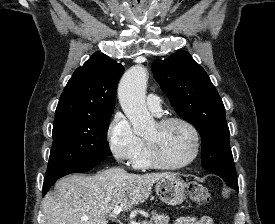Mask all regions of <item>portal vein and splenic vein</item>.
I'll use <instances>...</instances> for the list:
<instances>
[{
    "label": "portal vein and splenic vein",
    "instance_id": "18ae733b",
    "mask_svg": "<svg viewBox=\"0 0 275 224\" xmlns=\"http://www.w3.org/2000/svg\"><path fill=\"white\" fill-rule=\"evenodd\" d=\"M121 211H122L121 205L114 207V209L112 211V216L119 215ZM87 219L88 218H86V217H82V220H87ZM129 224H141V223H137L135 221H130Z\"/></svg>",
    "mask_w": 275,
    "mask_h": 224
}]
</instances>
